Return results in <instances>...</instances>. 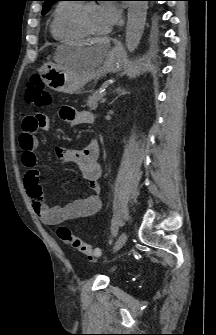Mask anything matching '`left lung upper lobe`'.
Returning a JSON list of instances; mask_svg holds the SVG:
<instances>
[{"instance_id": "obj_1", "label": "left lung upper lobe", "mask_w": 216, "mask_h": 335, "mask_svg": "<svg viewBox=\"0 0 216 335\" xmlns=\"http://www.w3.org/2000/svg\"><path fill=\"white\" fill-rule=\"evenodd\" d=\"M41 1H44L42 15H45L49 11L50 7L58 0H41ZM149 1H156V0H149ZM154 18H156V15H154Z\"/></svg>"}]
</instances>
